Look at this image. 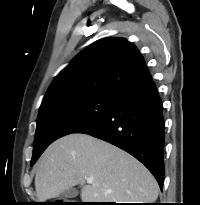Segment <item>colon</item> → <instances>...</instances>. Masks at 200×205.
Here are the masks:
<instances>
[{
    "label": "colon",
    "instance_id": "obj_1",
    "mask_svg": "<svg viewBox=\"0 0 200 205\" xmlns=\"http://www.w3.org/2000/svg\"><path fill=\"white\" fill-rule=\"evenodd\" d=\"M57 205H70V202H60L59 204Z\"/></svg>",
    "mask_w": 200,
    "mask_h": 205
}]
</instances>
